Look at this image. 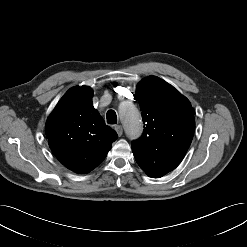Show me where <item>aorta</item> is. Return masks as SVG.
Segmentation results:
<instances>
[{
  "mask_svg": "<svg viewBox=\"0 0 247 247\" xmlns=\"http://www.w3.org/2000/svg\"><path fill=\"white\" fill-rule=\"evenodd\" d=\"M119 115L126 135L130 139L139 137L143 130L141 115L134 104L123 102L119 107Z\"/></svg>",
  "mask_w": 247,
  "mask_h": 247,
  "instance_id": "obj_1",
  "label": "aorta"
}]
</instances>
